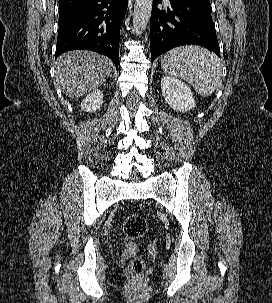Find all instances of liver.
<instances>
[{
  "label": "liver",
  "mask_w": 272,
  "mask_h": 303,
  "mask_svg": "<svg viewBox=\"0 0 272 303\" xmlns=\"http://www.w3.org/2000/svg\"><path fill=\"white\" fill-rule=\"evenodd\" d=\"M113 63L92 51H71L57 58L56 82L70 98H78L97 89L111 76Z\"/></svg>",
  "instance_id": "obj_1"
}]
</instances>
